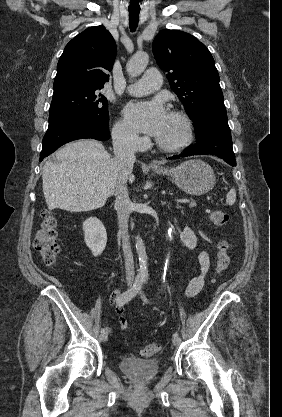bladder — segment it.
<instances>
[{
    "label": "bladder",
    "mask_w": 282,
    "mask_h": 417,
    "mask_svg": "<svg viewBox=\"0 0 282 417\" xmlns=\"http://www.w3.org/2000/svg\"><path fill=\"white\" fill-rule=\"evenodd\" d=\"M119 369L133 382L145 385L156 378L160 372V365L157 359L127 355L121 358Z\"/></svg>",
    "instance_id": "bladder-1"
}]
</instances>
